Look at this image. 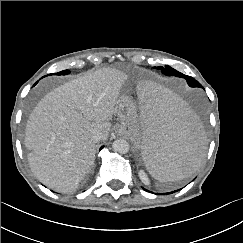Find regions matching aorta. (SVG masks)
<instances>
[{"instance_id":"obj_1","label":"aorta","mask_w":243,"mask_h":243,"mask_svg":"<svg viewBox=\"0 0 243 243\" xmlns=\"http://www.w3.org/2000/svg\"><path fill=\"white\" fill-rule=\"evenodd\" d=\"M112 148L115 152L120 154L128 153L130 146L129 143L124 139H117L113 142Z\"/></svg>"}]
</instances>
